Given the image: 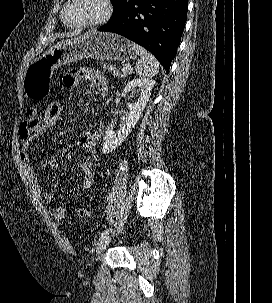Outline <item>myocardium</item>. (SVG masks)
Returning <instances> with one entry per match:
<instances>
[{"label":"myocardium","mask_w":272,"mask_h":303,"mask_svg":"<svg viewBox=\"0 0 272 303\" xmlns=\"http://www.w3.org/2000/svg\"><path fill=\"white\" fill-rule=\"evenodd\" d=\"M98 1L103 7V13L100 17L93 20L83 21L80 23H69L66 19V13L68 8L71 6L72 3L75 2V0H68L62 11L63 23L71 28L97 27L107 23L113 15V10H114L113 3L111 0H98Z\"/></svg>","instance_id":"f54148a6"}]
</instances>
